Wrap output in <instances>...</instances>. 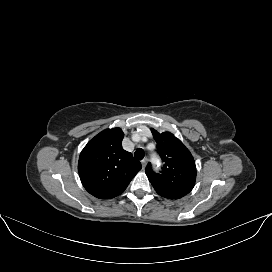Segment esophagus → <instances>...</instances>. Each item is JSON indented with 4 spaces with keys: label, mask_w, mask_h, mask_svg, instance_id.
<instances>
[{
    "label": "esophagus",
    "mask_w": 272,
    "mask_h": 272,
    "mask_svg": "<svg viewBox=\"0 0 272 272\" xmlns=\"http://www.w3.org/2000/svg\"><path fill=\"white\" fill-rule=\"evenodd\" d=\"M141 164H142V168L145 169L146 165H147V159H143L141 161Z\"/></svg>",
    "instance_id": "34e87169"
}]
</instances>
